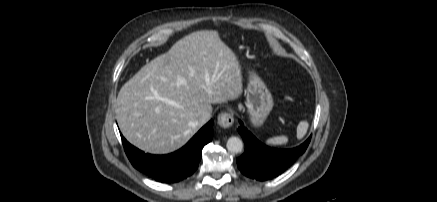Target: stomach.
<instances>
[{"mask_svg": "<svg viewBox=\"0 0 437 202\" xmlns=\"http://www.w3.org/2000/svg\"><path fill=\"white\" fill-rule=\"evenodd\" d=\"M246 107L254 126H261L273 108V99L264 82L254 73L245 90Z\"/></svg>", "mask_w": 437, "mask_h": 202, "instance_id": "0dacf381", "label": "stomach"}]
</instances>
